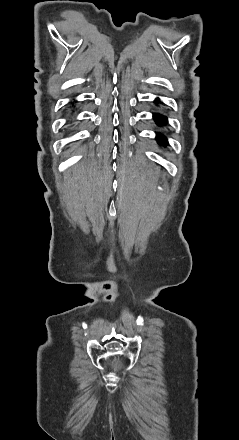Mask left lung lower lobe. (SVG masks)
Masks as SVG:
<instances>
[{
  "mask_svg": "<svg viewBox=\"0 0 239 440\" xmlns=\"http://www.w3.org/2000/svg\"><path fill=\"white\" fill-rule=\"evenodd\" d=\"M154 119H155V121L157 122L158 125H163L167 121V119L164 116L159 115V114H154ZM157 140L161 144H165L166 143L165 137L160 135V134L157 136Z\"/></svg>",
  "mask_w": 239,
  "mask_h": 440,
  "instance_id": "0a47b994",
  "label": "left lung lower lobe"
}]
</instances>
